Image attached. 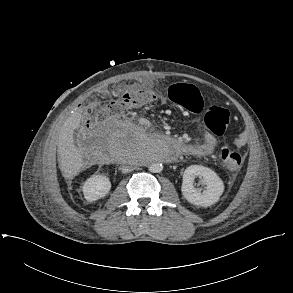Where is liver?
I'll return each mask as SVG.
<instances>
[{
	"label": "liver",
	"instance_id": "6515ba94",
	"mask_svg": "<svg viewBox=\"0 0 293 293\" xmlns=\"http://www.w3.org/2000/svg\"><path fill=\"white\" fill-rule=\"evenodd\" d=\"M83 116L76 111L67 118L58 136V162L64 178L72 179L83 169L82 153L74 144V130L79 128Z\"/></svg>",
	"mask_w": 293,
	"mask_h": 293
}]
</instances>
